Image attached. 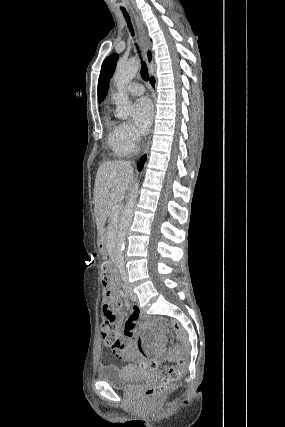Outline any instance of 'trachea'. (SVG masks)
<instances>
[{
	"label": "trachea",
	"mask_w": 285,
	"mask_h": 427,
	"mask_svg": "<svg viewBox=\"0 0 285 427\" xmlns=\"http://www.w3.org/2000/svg\"><path fill=\"white\" fill-rule=\"evenodd\" d=\"M121 10H122L124 18H125V20L127 22L129 31L131 32V35L134 36V29H133L130 17L128 15L127 11L125 10V8H121ZM135 46H136V49L138 50V53H140L139 52V47L137 46L136 43H135ZM141 64H142L141 65V77L143 78V80L148 81L149 74H148L147 66H146V64H145V62L143 60L141 61Z\"/></svg>",
	"instance_id": "3493384b"
}]
</instances>
